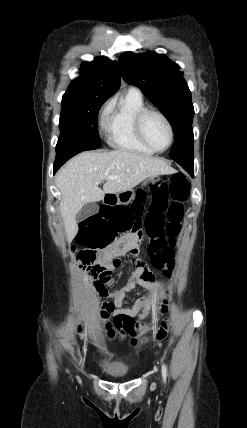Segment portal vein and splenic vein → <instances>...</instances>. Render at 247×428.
<instances>
[{
    "mask_svg": "<svg viewBox=\"0 0 247 428\" xmlns=\"http://www.w3.org/2000/svg\"><path fill=\"white\" fill-rule=\"evenodd\" d=\"M106 178L107 179H116L117 177L116 176H107Z\"/></svg>",
    "mask_w": 247,
    "mask_h": 428,
    "instance_id": "18ae733b",
    "label": "portal vein and splenic vein"
}]
</instances>
